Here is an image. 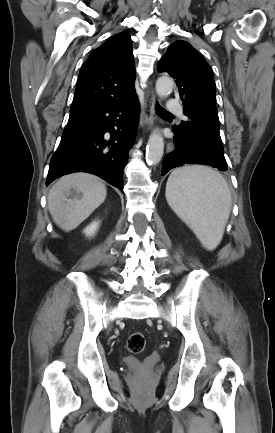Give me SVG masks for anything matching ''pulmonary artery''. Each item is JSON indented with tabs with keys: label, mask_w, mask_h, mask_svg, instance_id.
Returning <instances> with one entry per match:
<instances>
[{
	"label": "pulmonary artery",
	"mask_w": 275,
	"mask_h": 433,
	"mask_svg": "<svg viewBox=\"0 0 275 433\" xmlns=\"http://www.w3.org/2000/svg\"><path fill=\"white\" fill-rule=\"evenodd\" d=\"M181 110H182L181 109V105L176 100L170 99L167 102L166 111L169 112L170 114L171 113H173V114H180L182 116Z\"/></svg>",
	"instance_id": "obj_1"
}]
</instances>
